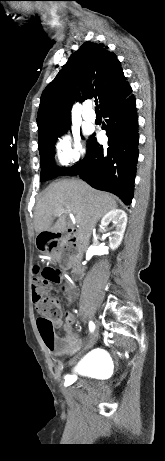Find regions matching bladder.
<instances>
[{
	"mask_svg": "<svg viewBox=\"0 0 165 461\" xmlns=\"http://www.w3.org/2000/svg\"><path fill=\"white\" fill-rule=\"evenodd\" d=\"M105 368V362L101 355L84 357L78 364L77 370L82 376L99 375Z\"/></svg>",
	"mask_w": 165,
	"mask_h": 461,
	"instance_id": "1",
	"label": "bladder"
}]
</instances>
